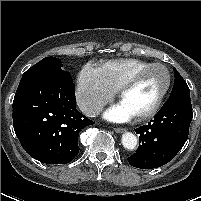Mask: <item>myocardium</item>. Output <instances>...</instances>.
Masks as SVG:
<instances>
[{"label":"myocardium","instance_id":"1","mask_svg":"<svg viewBox=\"0 0 201 201\" xmlns=\"http://www.w3.org/2000/svg\"><path fill=\"white\" fill-rule=\"evenodd\" d=\"M156 67H160V68L164 69V71L166 73V84H165L163 90L161 91V93L159 94L158 98L156 99L155 103L145 112L134 116L135 119L138 121H143V120L152 118L160 110V108L170 90L171 83H172V75H171L169 68L165 64H162V63H152V64L148 65L147 67L140 69L139 71L134 73L132 76H130L127 80H125L122 83V85L120 86V88L118 90V98L121 101L124 94L131 87H133L150 70H152L153 68H156Z\"/></svg>","mask_w":201,"mask_h":201}]
</instances>
